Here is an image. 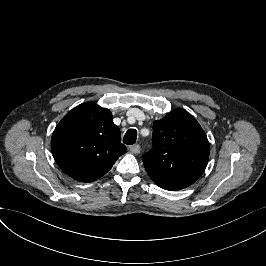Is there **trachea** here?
<instances>
[{"label": "trachea", "mask_w": 266, "mask_h": 266, "mask_svg": "<svg viewBox=\"0 0 266 266\" xmlns=\"http://www.w3.org/2000/svg\"><path fill=\"white\" fill-rule=\"evenodd\" d=\"M137 139V131L135 129H129L124 135L123 142L125 144L131 145L136 142Z\"/></svg>", "instance_id": "1"}]
</instances>
